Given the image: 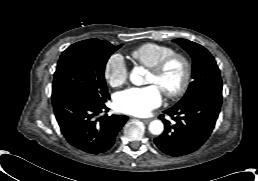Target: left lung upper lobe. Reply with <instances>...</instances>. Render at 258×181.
Listing matches in <instances>:
<instances>
[{"mask_svg": "<svg viewBox=\"0 0 258 181\" xmlns=\"http://www.w3.org/2000/svg\"><path fill=\"white\" fill-rule=\"evenodd\" d=\"M173 42L178 43L193 59V81L184 97L176 105L190 103L205 95L222 96L220 71L210 52L203 46L186 39H175Z\"/></svg>", "mask_w": 258, "mask_h": 181, "instance_id": "1", "label": "left lung upper lobe"}]
</instances>
